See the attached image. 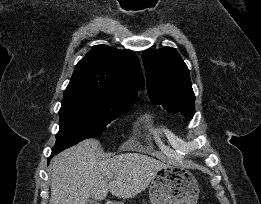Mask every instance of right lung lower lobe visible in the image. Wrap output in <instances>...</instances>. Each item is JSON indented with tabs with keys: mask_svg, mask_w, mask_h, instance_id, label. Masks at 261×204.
Segmentation results:
<instances>
[{
	"mask_svg": "<svg viewBox=\"0 0 261 204\" xmlns=\"http://www.w3.org/2000/svg\"><path fill=\"white\" fill-rule=\"evenodd\" d=\"M57 153H59L58 151H55V150H52V154H51V156L49 157V160L51 159V157L53 156V155H55V154H57Z\"/></svg>",
	"mask_w": 261,
	"mask_h": 204,
	"instance_id": "1",
	"label": "right lung lower lobe"
}]
</instances>
